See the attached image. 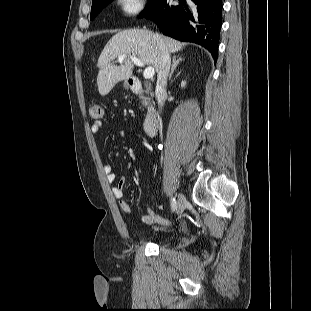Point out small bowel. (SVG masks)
I'll use <instances>...</instances> for the list:
<instances>
[{
  "label": "small bowel",
  "instance_id": "c3829d8e",
  "mask_svg": "<svg viewBox=\"0 0 311 311\" xmlns=\"http://www.w3.org/2000/svg\"><path fill=\"white\" fill-rule=\"evenodd\" d=\"M102 128V123L97 121L94 122L91 127L90 130L92 133H98ZM121 136H125L124 132H120ZM103 171L106 175L107 181L110 184H113L117 181V175L114 171L113 165L111 163H105L103 165ZM126 183V178L122 177L119 179L117 185L112 187V192L114 194V196L118 199L119 202V206L121 208V210L126 213V214H130L131 213V208L129 206V204L127 203V201L124 199V186ZM140 222L144 225H151L153 223H159L161 225H168L169 221L163 217H161L160 215L156 214L153 209L151 208L150 205H148V212L146 214H143L140 217Z\"/></svg>",
  "mask_w": 311,
  "mask_h": 311
}]
</instances>
